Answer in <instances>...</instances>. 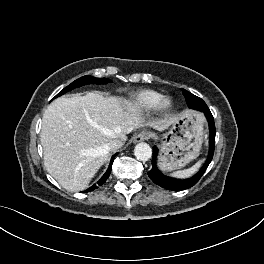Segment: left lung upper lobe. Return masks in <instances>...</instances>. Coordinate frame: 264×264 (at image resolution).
Listing matches in <instances>:
<instances>
[{
	"instance_id": "obj_1",
	"label": "left lung upper lobe",
	"mask_w": 264,
	"mask_h": 264,
	"mask_svg": "<svg viewBox=\"0 0 264 264\" xmlns=\"http://www.w3.org/2000/svg\"><path fill=\"white\" fill-rule=\"evenodd\" d=\"M183 95L186 98L187 105L195 110H201L200 108H206V103L199 97L193 95L185 89H182Z\"/></svg>"
}]
</instances>
